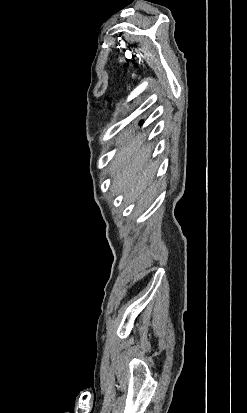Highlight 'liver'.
<instances>
[{"label": "liver", "mask_w": 247, "mask_h": 413, "mask_svg": "<svg viewBox=\"0 0 247 413\" xmlns=\"http://www.w3.org/2000/svg\"><path fill=\"white\" fill-rule=\"evenodd\" d=\"M124 140H127L126 144H123ZM117 142L123 146L110 162L112 188L117 194L124 192V200L129 204L138 200L140 207L155 194L157 186L153 178L158 168L157 160L148 162L151 146H144L142 134L132 136L131 132H125ZM156 182L158 184L159 180Z\"/></svg>", "instance_id": "1"}]
</instances>
